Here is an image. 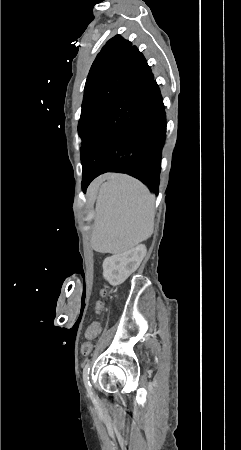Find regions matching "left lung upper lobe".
Returning <instances> with one entry per match:
<instances>
[{"instance_id": "left-lung-upper-lobe-1", "label": "left lung upper lobe", "mask_w": 241, "mask_h": 450, "mask_svg": "<svg viewBox=\"0 0 241 450\" xmlns=\"http://www.w3.org/2000/svg\"><path fill=\"white\" fill-rule=\"evenodd\" d=\"M131 48V42L117 35L103 46L90 68L78 123L82 147L96 119L120 94L132 58Z\"/></svg>"}]
</instances>
